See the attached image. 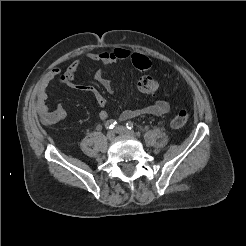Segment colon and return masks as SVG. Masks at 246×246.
<instances>
[{"label": "colon", "mask_w": 246, "mask_h": 246, "mask_svg": "<svg viewBox=\"0 0 246 246\" xmlns=\"http://www.w3.org/2000/svg\"><path fill=\"white\" fill-rule=\"evenodd\" d=\"M131 60L133 65L142 71H146L151 67L149 58L142 54L133 53L131 55ZM137 86L141 92L146 94H153L158 90V82L150 75L140 77ZM188 119L189 114L185 110H181L172 118L171 125L174 128H181L188 122Z\"/></svg>", "instance_id": "5ec220e1"}]
</instances>
